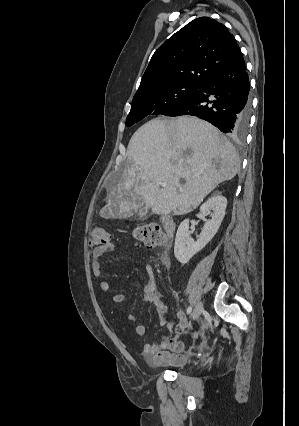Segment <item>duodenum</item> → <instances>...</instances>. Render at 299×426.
Returning a JSON list of instances; mask_svg holds the SVG:
<instances>
[{
    "label": "duodenum",
    "mask_w": 299,
    "mask_h": 426,
    "mask_svg": "<svg viewBox=\"0 0 299 426\" xmlns=\"http://www.w3.org/2000/svg\"><path fill=\"white\" fill-rule=\"evenodd\" d=\"M162 225H163V228H164L165 232L169 236L173 235V233L175 231V228H176V224H175V222H174V220H173L172 217H170L168 215L163 216V218H162ZM163 262L165 264L168 263V259H167L166 255H164V257H163Z\"/></svg>",
    "instance_id": "1"
}]
</instances>
